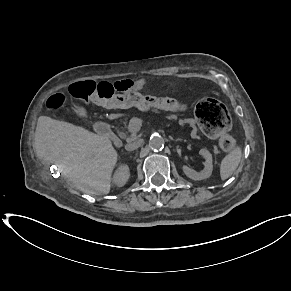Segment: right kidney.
Masks as SVG:
<instances>
[{"instance_id":"obj_1","label":"right kidney","mask_w":291,"mask_h":291,"mask_svg":"<svg viewBox=\"0 0 291 291\" xmlns=\"http://www.w3.org/2000/svg\"><path fill=\"white\" fill-rule=\"evenodd\" d=\"M129 176V167L126 164L120 165L113 176V182L119 187L124 186L128 181Z\"/></svg>"}]
</instances>
